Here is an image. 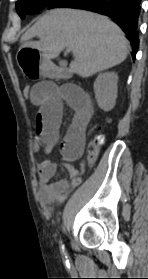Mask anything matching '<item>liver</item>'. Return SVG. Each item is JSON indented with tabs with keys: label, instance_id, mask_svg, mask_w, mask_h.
<instances>
[{
	"label": "liver",
	"instance_id": "6515ba94",
	"mask_svg": "<svg viewBox=\"0 0 148 279\" xmlns=\"http://www.w3.org/2000/svg\"><path fill=\"white\" fill-rule=\"evenodd\" d=\"M38 37L39 41H31ZM21 48L42 53L49 61L70 48V69L86 78L122 63L129 43L123 31L103 15L58 8L46 12L20 39Z\"/></svg>",
	"mask_w": 148,
	"mask_h": 279
}]
</instances>
